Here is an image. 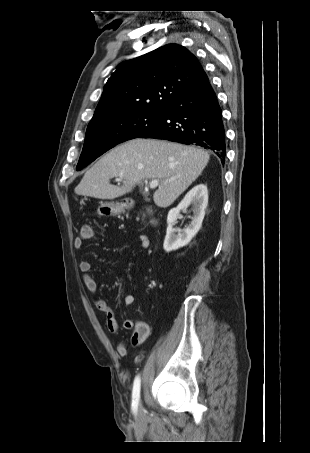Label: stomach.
Listing matches in <instances>:
<instances>
[{
    "label": "stomach",
    "instance_id": "0dacf381",
    "mask_svg": "<svg viewBox=\"0 0 310 453\" xmlns=\"http://www.w3.org/2000/svg\"><path fill=\"white\" fill-rule=\"evenodd\" d=\"M125 202H104L98 207V214L101 216H116L124 212Z\"/></svg>",
    "mask_w": 310,
    "mask_h": 453
}]
</instances>
